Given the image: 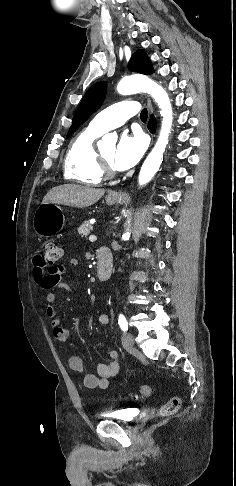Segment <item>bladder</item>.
<instances>
[{"label": "bladder", "mask_w": 236, "mask_h": 486, "mask_svg": "<svg viewBox=\"0 0 236 486\" xmlns=\"http://www.w3.org/2000/svg\"><path fill=\"white\" fill-rule=\"evenodd\" d=\"M101 417L108 420H113L122 423H131L136 418V413L131 408L119 409L116 411L105 412Z\"/></svg>", "instance_id": "1"}]
</instances>
